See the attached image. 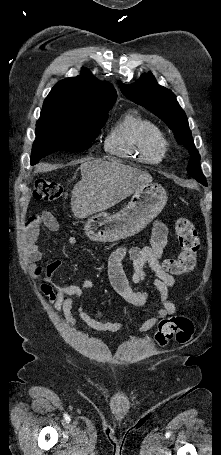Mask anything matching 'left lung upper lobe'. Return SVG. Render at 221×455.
<instances>
[{
    "label": "left lung upper lobe",
    "instance_id": "5c2ea615",
    "mask_svg": "<svg viewBox=\"0 0 221 455\" xmlns=\"http://www.w3.org/2000/svg\"><path fill=\"white\" fill-rule=\"evenodd\" d=\"M119 84L121 92L128 99L153 112L174 131L176 139L191 155L187 166L188 173L198 182L206 185V179L200 170V155L193 143L187 117L174 93L159 85L152 73L143 74L133 84L124 85L122 82Z\"/></svg>",
    "mask_w": 221,
    "mask_h": 455
}]
</instances>
